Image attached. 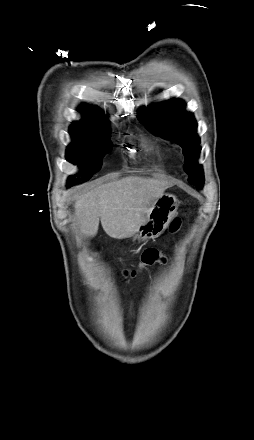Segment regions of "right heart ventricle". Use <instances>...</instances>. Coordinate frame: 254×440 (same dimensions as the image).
I'll use <instances>...</instances> for the list:
<instances>
[{
  "label": "right heart ventricle",
  "mask_w": 254,
  "mask_h": 440,
  "mask_svg": "<svg viewBox=\"0 0 254 440\" xmlns=\"http://www.w3.org/2000/svg\"><path fill=\"white\" fill-rule=\"evenodd\" d=\"M150 148L158 149L159 147H158V145L152 144V145H150Z\"/></svg>",
  "instance_id": "e07e8e85"
}]
</instances>
